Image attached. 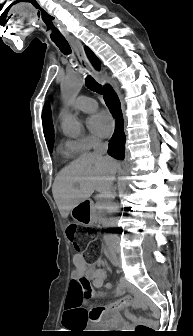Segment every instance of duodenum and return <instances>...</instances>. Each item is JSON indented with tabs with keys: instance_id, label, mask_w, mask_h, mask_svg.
<instances>
[{
	"instance_id": "duodenum-1",
	"label": "duodenum",
	"mask_w": 193,
	"mask_h": 336,
	"mask_svg": "<svg viewBox=\"0 0 193 336\" xmlns=\"http://www.w3.org/2000/svg\"><path fill=\"white\" fill-rule=\"evenodd\" d=\"M111 256L113 258L114 263L117 262L118 255L114 247L111 248ZM140 302H143L142 300H139Z\"/></svg>"
}]
</instances>
